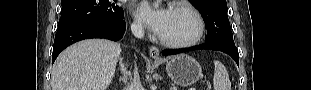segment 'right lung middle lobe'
<instances>
[{"label":"right lung middle lobe","mask_w":311,"mask_h":90,"mask_svg":"<svg viewBox=\"0 0 311 90\" xmlns=\"http://www.w3.org/2000/svg\"><path fill=\"white\" fill-rule=\"evenodd\" d=\"M116 0H62L58 29L88 20L116 21L124 17Z\"/></svg>","instance_id":"1"}]
</instances>
